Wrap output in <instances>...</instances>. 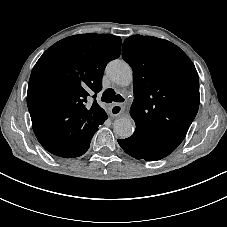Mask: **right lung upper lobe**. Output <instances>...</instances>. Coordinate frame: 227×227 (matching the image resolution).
Returning <instances> with one entry per match:
<instances>
[{
  "mask_svg": "<svg viewBox=\"0 0 227 227\" xmlns=\"http://www.w3.org/2000/svg\"><path fill=\"white\" fill-rule=\"evenodd\" d=\"M121 38L111 34H80L48 48L35 64L27 92L34 133L49 152L79 156L89 147L98 126L107 119L87 97L102 88L103 72L119 57ZM93 92H92V91Z\"/></svg>",
  "mask_w": 227,
  "mask_h": 227,
  "instance_id": "1",
  "label": "right lung upper lobe"
}]
</instances>
